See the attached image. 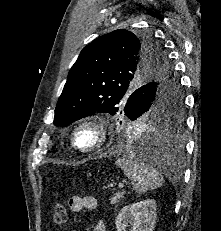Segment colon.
<instances>
[{
  "mask_svg": "<svg viewBox=\"0 0 221 231\" xmlns=\"http://www.w3.org/2000/svg\"><path fill=\"white\" fill-rule=\"evenodd\" d=\"M66 221V208L59 198L54 203L52 222L54 225H63Z\"/></svg>",
  "mask_w": 221,
  "mask_h": 231,
  "instance_id": "colon-1",
  "label": "colon"
}]
</instances>
